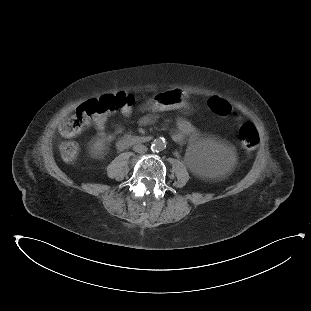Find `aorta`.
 Segmentation results:
<instances>
[{"label": "aorta", "instance_id": "1", "mask_svg": "<svg viewBox=\"0 0 311 311\" xmlns=\"http://www.w3.org/2000/svg\"><path fill=\"white\" fill-rule=\"evenodd\" d=\"M164 148H165V143L160 139H155L151 145V149L154 152L162 151L164 150Z\"/></svg>", "mask_w": 311, "mask_h": 311}]
</instances>
